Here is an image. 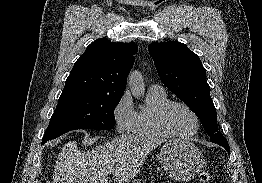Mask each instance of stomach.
Listing matches in <instances>:
<instances>
[{"label":"stomach","instance_id":"stomach-1","mask_svg":"<svg viewBox=\"0 0 262 183\" xmlns=\"http://www.w3.org/2000/svg\"><path fill=\"white\" fill-rule=\"evenodd\" d=\"M159 157L168 176L176 181L194 178L204 165L199 148L185 139L167 141L161 148Z\"/></svg>","mask_w":262,"mask_h":183}]
</instances>
